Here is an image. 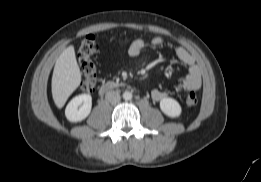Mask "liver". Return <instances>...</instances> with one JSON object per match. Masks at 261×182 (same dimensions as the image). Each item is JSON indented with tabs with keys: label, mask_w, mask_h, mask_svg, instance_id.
<instances>
[{
	"label": "liver",
	"mask_w": 261,
	"mask_h": 182,
	"mask_svg": "<svg viewBox=\"0 0 261 182\" xmlns=\"http://www.w3.org/2000/svg\"><path fill=\"white\" fill-rule=\"evenodd\" d=\"M81 82L74 46L67 47L58 57L52 76V96L55 105L62 108Z\"/></svg>",
	"instance_id": "liver-1"
}]
</instances>
